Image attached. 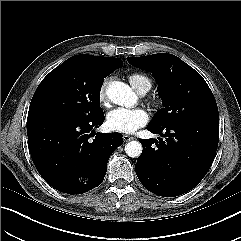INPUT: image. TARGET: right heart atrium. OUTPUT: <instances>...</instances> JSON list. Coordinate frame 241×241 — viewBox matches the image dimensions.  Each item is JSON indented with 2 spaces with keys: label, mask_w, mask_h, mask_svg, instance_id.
<instances>
[{
  "label": "right heart atrium",
  "mask_w": 241,
  "mask_h": 241,
  "mask_svg": "<svg viewBox=\"0 0 241 241\" xmlns=\"http://www.w3.org/2000/svg\"><path fill=\"white\" fill-rule=\"evenodd\" d=\"M108 79H105L103 81V83L101 84L100 88H99V92H98V98L99 101L101 102V104L105 105L107 103V94H106V90H107V86H108Z\"/></svg>",
  "instance_id": "obj_1"
}]
</instances>
